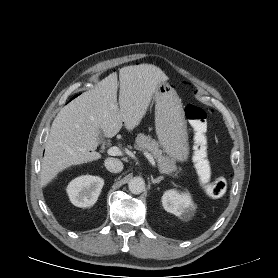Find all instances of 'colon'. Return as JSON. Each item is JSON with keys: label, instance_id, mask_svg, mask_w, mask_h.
<instances>
[{"label": "colon", "instance_id": "colon-1", "mask_svg": "<svg viewBox=\"0 0 278 278\" xmlns=\"http://www.w3.org/2000/svg\"><path fill=\"white\" fill-rule=\"evenodd\" d=\"M185 115L194 130V160L200 170L204 192L211 198H219L226 191V179L223 175L209 180L207 164V114L204 109L188 104L185 107Z\"/></svg>", "mask_w": 278, "mask_h": 278}]
</instances>
